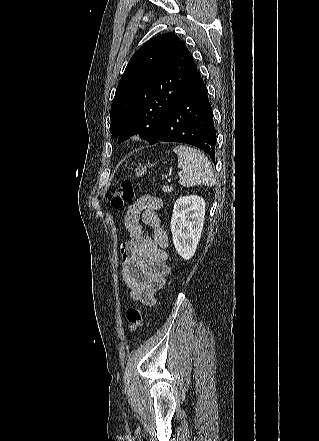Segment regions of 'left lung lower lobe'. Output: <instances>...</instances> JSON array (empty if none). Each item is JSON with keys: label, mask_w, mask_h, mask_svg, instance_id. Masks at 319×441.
<instances>
[{"label": "left lung lower lobe", "mask_w": 319, "mask_h": 441, "mask_svg": "<svg viewBox=\"0 0 319 441\" xmlns=\"http://www.w3.org/2000/svg\"><path fill=\"white\" fill-rule=\"evenodd\" d=\"M119 143L123 142L118 138ZM159 141L194 145L214 161L216 130L207 88L198 71L167 114L159 133L150 144Z\"/></svg>", "instance_id": "1"}]
</instances>
